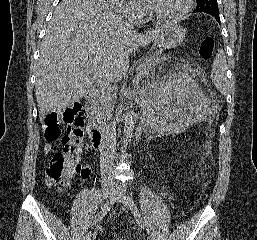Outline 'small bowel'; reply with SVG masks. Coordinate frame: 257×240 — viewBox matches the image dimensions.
Listing matches in <instances>:
<instances>
[{"label": "small bowel", "mask_w": 257, "mask_h": 240, "mask_svg": "<svg viewBox=\"0 0 257 240\" xmlns=\"http://www.w3.org/2000/svg\"><path fill=\"white\" fill-rule=\"evenodd\" d=\"M52 147H53V142H52V141H47L46 144H45V146H44V152H45V153L50 152L51 149H52ZM85 169H86V174H85L84 176H82V179L87 178L88 175H89V172H90V171H89V168H85Z\"/></svg>", "instance_id": "small-bowel-1"}]
</instances>
